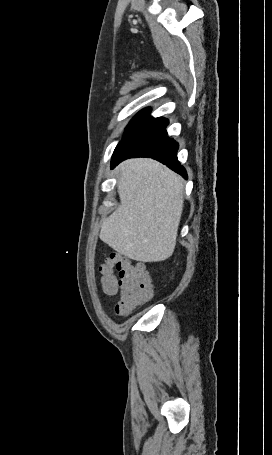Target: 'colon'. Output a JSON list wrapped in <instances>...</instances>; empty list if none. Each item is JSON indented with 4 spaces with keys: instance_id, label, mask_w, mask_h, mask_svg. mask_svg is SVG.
<instances>
[{
    "instance_id": "5ec220e1",
    "label": "colon",
    "mask_w": 272,
    "mask_h": 455,
    "mask_svg": "<svg viewBox=\"0 0 272 455\" xmlns=\"http://www.w3.org/2000/svg\"><path fill=\"white\" fill-rule=\"evenodd\" d=\"M114 270L118 276L114 275ZM104 293L112 296L120 290V301L115 307L118 315H126L153 296L150 278L140 263L118 254L111 255L100 267Z\"/></svg>"
}]
</instances>
